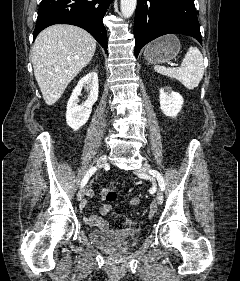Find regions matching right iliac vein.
Here are the masks:
<instances>
[{
    "mask_svg": "<svg viewBox=\"0 0 240 281\" xmlns=\"http://www.w3.org/2000/svg\"><path fill=\"white\" fill-rule=\"evenodd\" d=\"M107 162V156L103 155L97 160V167H103ZM86 188H82L77 194V200L81 201L85 195Z\"/></svg>",
    "mask_w": 240,
    "mask_h": 281,
    "instance_id": "right-iliac-vein-1",
    "label": "right iliac vein"
}]
</instances>
